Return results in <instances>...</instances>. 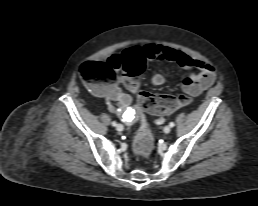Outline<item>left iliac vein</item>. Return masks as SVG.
<instances>
[{
    "mask_svg": "<svg viewBox=\"0 0 258 206\" xmlns=\"http://www.w3.org/2000/svg\"><path fill=\"white\" fill-rule=\"evenodd\" d=\"M170 131H171L170 126H165V127H164V132H165V133H169Z\"/></svg>",
    "mask_w": 258,
    "mask_h": 206,
    "instance_id": "left-iliac-vein-1",
    "label": "left iliac vein"
}]
</instances>
